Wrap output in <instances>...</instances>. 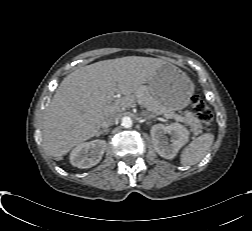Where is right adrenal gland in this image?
Here are the masks:
<instances>
[{"mask_svg":"<svg viewBox=\"0 0 252 231\" xmlns=\"http://www.w3.org/2000/svg\"><path fill=\"white\" fill-rule=\"evenodd\" d=\"M108 131L109 129H104L98 133V136H100L101 134H108Z\"/></svg>","mask_w":252,"mask_h":231,"instance_id":"obj_1","label":"right adrenal gland"}]
</instances>
